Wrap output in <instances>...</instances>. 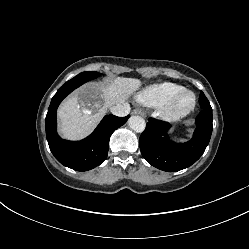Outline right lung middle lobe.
I'll return each instance as SVG.
<instances>
[{
    "instance_id": "1",
    "label": "right lung middle lobe",
    "mask_w": 249,
    "mask_h": 249,
    "mask_svg": "<svg viewBox=\"0 0 249 249\" xmlns=\"http://www.w3.org/2000/svg\"><path fill=\"white\" fill-rule=\"evenodd\" d=\"M98 76H99V73L96 71H86V72H82V73L78 74L74 78L75 79H83L85 81H88V80L95 79Z\"/></svg>"
}]
</instances>
